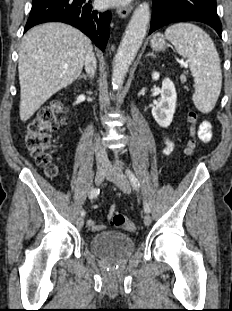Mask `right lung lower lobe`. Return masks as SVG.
I'll return each mask as SVG.
<instances>
[{
    "instance_id": "98d812e1",
    "label": "right lung lower lobe",
    "mask_w": 232,
    "mask_h": 311,
    "mask_svg": "<svg viewBox=\"0 0 232 311\" xmlns=\"http://www.w3.org/2000/svg\"><path fill=\"white\" fill-rule=\"evenodd\" d=\"M91 0H33L24 32L45 22H64L85 33L102 51L109 38L111 13L98 12Z\"/></svg>"
}]
</instances>
